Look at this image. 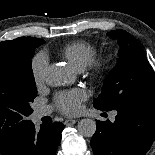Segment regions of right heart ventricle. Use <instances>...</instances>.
<instances>
[{"mask_svg": "<svg viewBox=\"0 0 155 155\" xmlns=\"http://www.w3.org/2000/svg\"><path fill=\"white\" fill-rule=\"evenodd\" d=\"M63 57L77 70H83L96 55L94 46L85 41H75L62 49Z\"/></svg>", "mask_w": 155, "mask_h": 155, "instance_id": "e07e8e85", "label": "right heart ventricle"}]
</instances>
